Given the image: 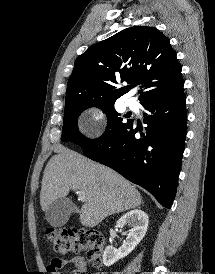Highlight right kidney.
Listing matches in <instances>:
<instances>
[{"label":"right kidney","mask_w":215,"mask_h":274,"mask_svg":"<svg viewBox=\"0 0 215 274\" xmlns=\"http://www.w3.org/2000/svg\"><path fill=\"white\" fill-rule=\"evenodd\" d=\"M148 221V215L139 209L127 212L117 221L116 227L123 228L125 225H128L131 229L120 248L116 249L111 245L105 248L103 254V263L105 266L109 267L113 265L135 249L147 232Z\"/></svg>","instance_id":"right-kidney-1"}]
</instances>
